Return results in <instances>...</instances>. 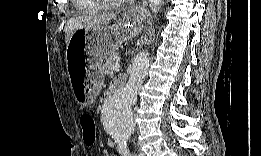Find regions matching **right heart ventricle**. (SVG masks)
<instances>
[{
	"mask_svg": "<svg viewBox=\"0 0 261 156\" xmlns=\"http://www.w3.org/2000/svg\"><path fill=\"white\" fill-rule=\"evenodd\" d=\"M90 2L88 0H78V3Z\"/></svg>",
	"mask_w": 261,
	"mask_h": 156,
	"instance_id": "1",
	"label": "right heart ventricle"
}]
</instances>
